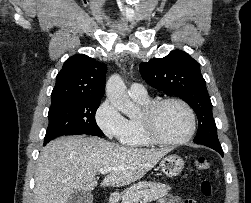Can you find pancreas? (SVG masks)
I'll return each mask as SVG.
<instances>
[{
    "instance_id": "1",
    "label": "pancreas",
    "mask_w": 251,
    "mask_h": 203,
    "mask_svg": "<svg viewBox=\"0 0 251 203\" xmlns=\"http://www.w3.org/2000/svg\"><path fill=\"white\" fill-rule=\"evenodd\" d=\"M170 189V186L162 183L139 182L133 184L124 192L121 203H139L142 201L143 203H148L165 196Z\"/></svg>"
}]
</instances>
